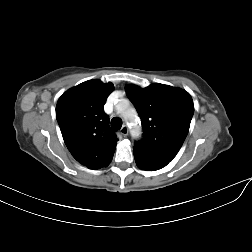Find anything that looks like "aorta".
Listing matches in <instances>:
<instances>
[{
	"label": "aorta",
	"mask_w": 252,
	"mask_h": 252,
	"mask_svg": "<svg viewBox=\"0 0 252 252\" xmlns=\"http://www.w3.org/2000/svg\"><path fill=\"white\" fill-rule=\"evenodd\" d=\"M123 103H125L126 105H129L127 100H122ZM122 114L124 116V118L130 123L131 127V134L133 137L137 138L140 136L141 134V129L138 126L137 123V119H136V112L135 110L131 109V108H127L126 110L122 111Z\"/></svg>",
	"instance_id": "762f6f07"
}]
</instances>
